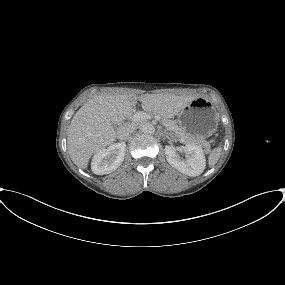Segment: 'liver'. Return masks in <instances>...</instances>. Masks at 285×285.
I'll return each mask as SVG.
<instances>
[{
    "label": "liver",
    "instance_id": "liver-1",
    "mask_svg": "<svg viewBox=\"0 0 285 285\" xmlns=\"http://www.w3.org/2000/svg\"><path fill=\"white\" fill-rule=\"evenodd\" d=\"M196 96L173 94H102L87 101L73 116L67 135L71 160L82 169L88 167L91 156L111 145L117 136L113 124H119L132 114L138 101L144 111L162 118H172Z\"/></svg>",
    "mask_w": 285,
    "mask_h": 285
}]
</instances>
